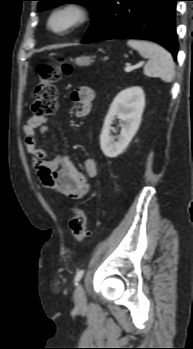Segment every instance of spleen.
Returning a JSON list of instances; mask_svg holds the SVG:
<instances>
[{
  "label": "spleen",
  "instance_id": "spleen-1",
  "mask_svg": "<svg viewBox=\"0 0 193 349\" xmlns=\"http://www.w3.org/2000/svg\"><path fill=\"white\" fill-rule=\"evenodd\" d=\"M127 44L149 60L144 67L146 76L159 77L166 83L172 82L175 76V65L172 55L166 49L155 43L142 40L130 39Z\"/></svg>",
  "mask_w": 193,
  "mask_h": 349
}]
</instances>
